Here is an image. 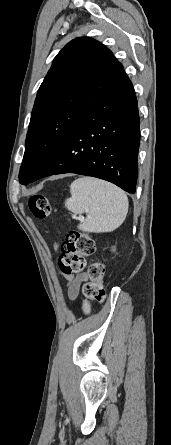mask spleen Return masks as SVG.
Masks as SVG:
<instances>
[{"label": "spleen", "mask_w": 171, "mask_h": 445, "mask_svg": "<svg viewBox=\"0 0 171 445\" xmlns=\"http://www.w3.org/2000/svg\"><path fill=\"white\" fill-rule=\"evenodd\" d=\"M66 208L74 214L88 213L78 228L85 232H111L125 220L128 198L117 186L92 177H81L70 185Z\"/></svg>", "instance_id": "obj_1"}]
</instances>
